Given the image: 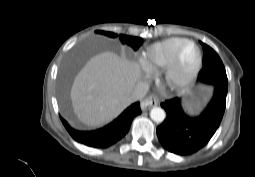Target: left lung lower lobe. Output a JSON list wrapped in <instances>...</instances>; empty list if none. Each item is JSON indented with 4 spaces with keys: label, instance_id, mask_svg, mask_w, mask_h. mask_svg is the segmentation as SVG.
<instances>
[{
    "label": "left lung lower lobe",
    "instance_id": "1",
    "mask_svg": "<svg viewBox=\"0 0 255 177\" xmlns=\"http://www.w3.org/2000/svg\"><path fill=\"white\" fill-rule=\"evenodd\" d=\"M205 83L214 86V95L197 117L186 115L177 97L161 104L167 117L157 127V136L167 151L181 156L191 155L203 148L218 129L225 111L228 83Z\"/></svg>",
    "mask_w": 255,
    "mask_h": 177
}]
</instances>
